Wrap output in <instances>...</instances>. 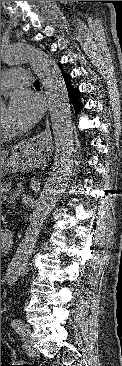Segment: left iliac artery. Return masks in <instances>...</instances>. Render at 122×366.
Returning a JSON list of instances; mask_svg holds the SVG:
<instances>
[{"instance_id":"1","label":"left iliac artery","mask_w":122,"mask_h":366,"mask_svg":"<svg viewBox=\"0 0 122 366\" xmlns=\"http://www.w3.org/2000/svg\"><path fill=\"white\" fill-rule=\"evenodd\" d=\"M11 326L16 330V332H21L23 328V323L19 319H13L11 321Z\"/></svg>"}]
</instances>
